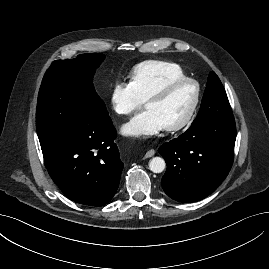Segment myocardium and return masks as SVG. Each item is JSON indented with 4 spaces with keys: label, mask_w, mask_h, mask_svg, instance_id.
<instances>
[{
    "label": "myocardium",
    "mask_w": 269,
    "mask_h": 269,
    "mask_svg": "<svg viewBox=\"0 0 269 269\" xmlns=\"http://www.w3.org/2000/svg\"><path fill=\"white\" fill-rule=\"evenodd\" d=\"M183 84H193L195 86L194 100L188 113L179 123L165 127V130L168 132H177V131L183 130L190 124V122L194 118V115L198 109L200 99H201V88L198 81H196L193 78H188V77L170 81L166 85H164L163 87H161L160 89L152 93L146 99L145 104H148L149 102H152V101L161 100L165 98L174 88Z\"/></svg>",
    "instance_id": "1"
}]
</instances>
